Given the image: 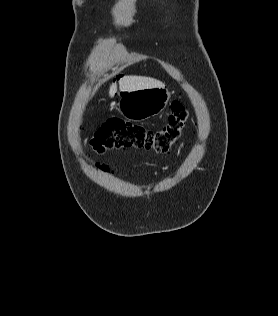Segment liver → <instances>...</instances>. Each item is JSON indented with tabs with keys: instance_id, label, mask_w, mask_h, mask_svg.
<instances>
[{
	"instance_id": "6515ba94",
	"label": "liver",
	"mask_w": 278,
	"mask_h": 316,
	"mask_svg": "<svg viewBox=\"0 0 278 316\" xmlns=\"http://www.w3.org/2000/svg\"><path fill=\"white\" fill-rule=\"evenodd\" d=\"M155 87H164V84L156 79L142 76H124L119 80V89L121 92H130ZM116 92L117 85L113 83L109 90L110 97H114Z\"/></svg>"
}]
</instances>
